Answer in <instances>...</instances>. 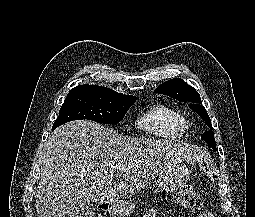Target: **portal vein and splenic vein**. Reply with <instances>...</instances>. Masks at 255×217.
Listing matches in <instances>:
<instances>
[{"mask_svg": "<svg viewBox=\"0 0 255 217\" xmlns=\"http://www.w3.org/2000/svg\"><path fill=\"white\" fill-rule=\"evenodd\" d=\"M114 169H115V170H122L123 167H122L121 165H116V166L114 167Z\"/></svg>", "mask_w": 255, "mask_h": 217, "instance_id": "1", "label": "portal vein and splenic vein"}]
</instances>
